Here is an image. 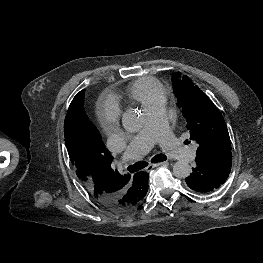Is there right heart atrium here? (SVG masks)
<instances>
[{"label": "right heart atrium", "mask_w": 263, "mask_h": 263, "mask_svg": "<svg viewBox=\"0 0 263 263\" xmlns=\"http://www.w3.org/2000/svg\"><path fill=\"white\" fill-rule=\"evenodd\" d=\"M119 115L116 103L111 99L102 100L98 105V116L108 134L115 132V126Z\"/></svg>", "instance_id": "right-heart-atrium-1"}]
</instances>
